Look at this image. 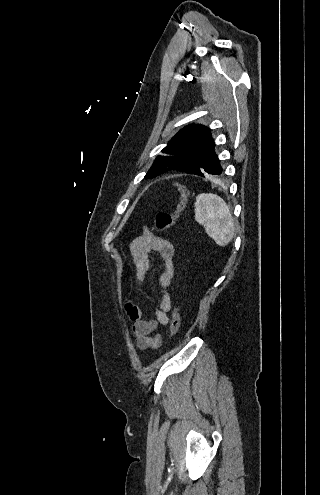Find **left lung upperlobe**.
Listing matches in <instances>:
<instances>
[{"label":"left lung upper lobe","mask_w":320,"mask_h":495,"mask_svg":"<svg viewBox=\"0 0 320 495\" xmlns=\"http://www.w3.org/2000/svg\"><path fill=\"white\" fill-rule=\"evenodd\" d=\"M214 148L209 128L199 124L188 125L169 141L145 178H154L169 171L185 172L197 165Z\"/></svg>","instance_id":"left-lung-upper-lobe-1"}]
</instances>
